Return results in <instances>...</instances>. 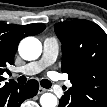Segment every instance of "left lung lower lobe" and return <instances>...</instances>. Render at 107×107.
Masks as SVG:
<instances>
[{
    "mask_svg": "<svg viewBox=\"0 0 107 107\" xmlns=\"http://www.w3.org/2000/svg\"><path fill=\"white\" fill-rule=\"evenodd\" d=\"M72 84V87L59 100L58 107H106L107 96L94 97L90 94V90L87 91L74 83ZM87 94L93 96V98L87 96Z\"/></svg>",
    "mask_w": 107,
    "mask_h": 107,
    "instance_id": "obj_1",
    "label": "left lung lower lobe"
}]
</instances>
